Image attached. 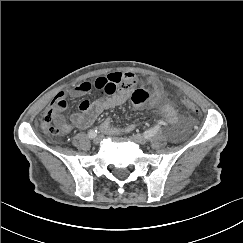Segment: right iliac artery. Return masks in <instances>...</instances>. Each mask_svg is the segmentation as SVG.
I'll use <instances>...</instances> for the list:
<instances>
[{
	"label": "right iliac artery",
	"mask_w": 243,
	"mask_h": 243,
	"mask_svg": "<svg viewBox=\"0 0 243 243\" xmlns=\"http://www.w3.org/2000/svg\"><path fill=\"white\" fill-rule=\"evenodd\" d=\"M97 132V129L90 130L88 133L89 138H95L97 136Z\"/></svg>",
	"instance_id": "82829eb1"
}]
</instances>
